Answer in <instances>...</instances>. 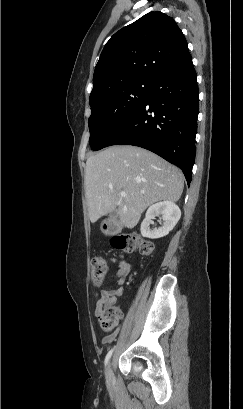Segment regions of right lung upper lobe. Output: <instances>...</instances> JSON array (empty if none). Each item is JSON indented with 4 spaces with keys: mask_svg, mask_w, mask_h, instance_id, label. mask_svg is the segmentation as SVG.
<instances>
[{
    "mask_svg": "<svg viewBox=\"0 0 243 409\" xmlns=\"http://www.w3.org/2000/svg\"><path fill=\"white\" fill-rule=\"evenodd\" d=\"M187 50L172 17L159 11L145 14L104 46L94 71L90 104L130 82L154 83Z\"/></svg>",
    "mask_w": 243,
    "mask_h": 409,
    "instance_id": "1",
    "label": "right lung upper lobe"
}]
</instances>
